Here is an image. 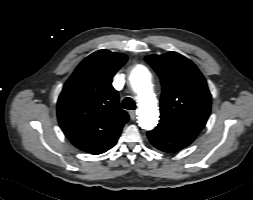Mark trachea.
Wrapping results in <instances>:
<instances>
[{
  "mask_svg": "<svg viewBox=\"0 0 253 200\" xmlns=\"http://www.w3.org/2000/svg\"><path fill=\"white\" fill-rule=\"evenodd\" d=\"M122 106L127 110H134L136 107L134 100L130 97H126L123 99Z\"/></svg>",
  "mask_w": 253,
  "mask_h": 200,
  "instance_id": "obj_1",
  "label": "trachea"
}]
</instances>
